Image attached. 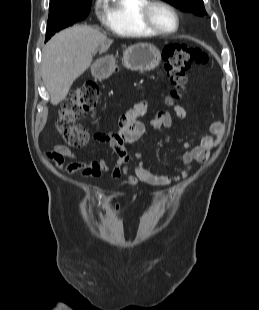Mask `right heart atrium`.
Masks as SVG:
<instances>
[{"label":"right heart atrium","mask_w":259,"mask_h":310,"mask_svg":"<svg viewBox=\"0 0 259 310\" xmlns=\"http://www.w3.org/2000/svg\"><path fill=\"white\" fill-rule=\"evenodd\" d=\"M107 1L108 0H94L93 2V12L96 18L105 22L107 19Z\"/></svg>","instance_id":"d8ad5b80"}]
</instances>
